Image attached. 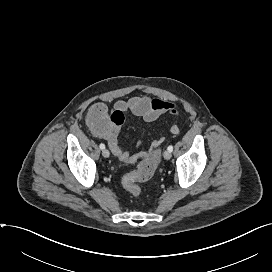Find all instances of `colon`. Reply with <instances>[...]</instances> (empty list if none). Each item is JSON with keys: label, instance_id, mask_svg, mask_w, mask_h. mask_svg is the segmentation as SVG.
<instances>
[{"label": "colon", "instance_id": "colon-1", "mask_svg": "<svg viewBox=\"0 0 272 272\" xmlns=\"http://www.w3.org/2000/svg\"><path fill=\"white\" fill-rule=\"evenodd\" d=\"M88 124L96 132H103L110 127H119L124 121V114L119 110L109 112L102 103L92 105L87 115ZM157 152L153 157L143 160L137 169L122 179V185L125 190L135 197L141 194V188L137 184L149 180L156 167Z\"/></svg>", "mask_w": 272, "mask_h": 272}]
</instances>
